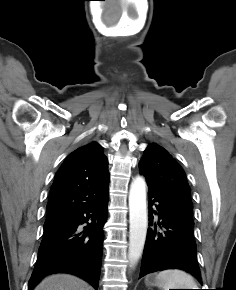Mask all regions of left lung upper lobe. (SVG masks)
Returning <instances> with one entry per match:
<instances>
[{
  "label": "left lung upper lobe",
  "instance_id": "5c2ea615",
  "mask_svg": "<svg viewBox=\"0 0 236 290\" xmlns=\"http://www.w3.org/2000/svg\"><path fill=\"white\" fill-rule=\"evenodd\" d=\"M139 171L146 177L149 189L173 197L192 213L190 187L185 172L164 148L150 144L139 162Z\"/></svg>",
  "mask_w": 236,
  "mask_h": 290
}]
</instances>
